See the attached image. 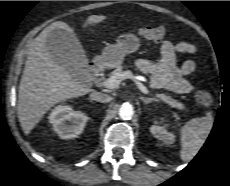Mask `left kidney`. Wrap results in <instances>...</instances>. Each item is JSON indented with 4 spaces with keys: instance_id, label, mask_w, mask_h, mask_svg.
<instances>
[{
    "instance_id": "1",
    "label": "left kidney",
    "mask_w": 230,
    "mask_h": 186,
    "mask_svg": "<svg viewBox=\"0 0 230 186\" xmlns=\"http://www.w3.org/2000/svg\"><path fill=\"white\" fill-rule=\"evenodd\" d=\"M152 135L165 142L166 144H172L175 141V136L168 132L164 126L154 124L150 127Z\"/></svg>"
}]
</instances>
